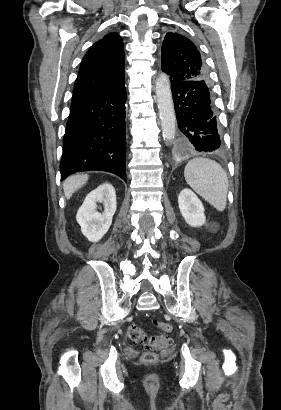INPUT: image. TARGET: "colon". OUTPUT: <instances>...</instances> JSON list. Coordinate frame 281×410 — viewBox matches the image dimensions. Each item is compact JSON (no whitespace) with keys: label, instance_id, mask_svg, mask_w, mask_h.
<instances>
[{"label":"colon","instance_id":"obj_1","mask_svg":"<svg viewBox=\"0 0 281 410\" xmlns=\"http://www.w3.org/2000/svg\"><path fill=\"white\" fill-rule=\"evenodd\" d=\"M154 325L166 334L146 335L143 328L136 324L127 328V338L131 342L141 344L148 349L141 357L145 363L155 362L157 359L155 351L165 349L173 343V338L168 335L173 331V326L170 323L154 321Z\"/></svg>","mask_w":281,"mask_h":410}]
</instances>
